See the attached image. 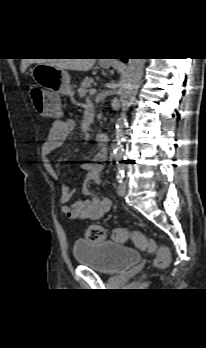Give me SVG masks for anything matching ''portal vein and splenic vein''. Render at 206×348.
<instances>
[{"mask_svg": "<svg viewBox=\"0 0 206 348\" xmlns=\"http://www.w3.org/2000/svg\"><path fill=\"white\" fill-rule=\"evenodd\" d=\"M95 93H96V89L95 88L90 89V94L91 95H94Z\"/></svg>", "mask_w": 206, "mask_h": 348, "instance_id": "1", "label": "portal vein and splenic vein"}]
</instances>
